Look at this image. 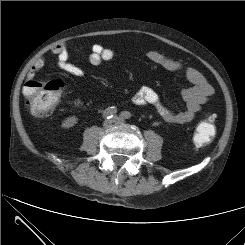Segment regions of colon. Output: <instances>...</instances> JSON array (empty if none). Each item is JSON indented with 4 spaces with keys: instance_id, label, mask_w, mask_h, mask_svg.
I'll return each instance as SVG.
<instances>
[{
    "instance_id": "obj_1",
    "label": "colon",
    "mask_w": 245,
    "mask_h": 245,
    "mask_svg": "<svg viewBox=\"0 0 245 245\" xmlns=\"http://www.w3.org/2000/svg\"><path fill=\"white\" fill-rule=\"evenodd\" d=\"M63 83L60 80L42 81L29 79L26 81L23 92L31 113L38 117L48 116L53 108L61 101ZM216 116L209 114L201 121L194 132L195 147L203 148L213 139L216 127Z\"/></svg>"
}]
</instances>
